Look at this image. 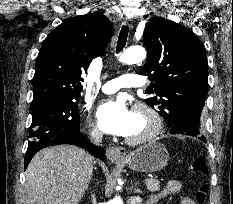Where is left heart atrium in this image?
<instances>
[{
  "instance_id": "1",
  "label": "left heart atrium",
  "mask_w": 233,
  "mask_h": 204,
  "mask_svg": "<svg viewBox=\"0 0 233 204\" xmlns=\"http://www.w3.org/2000/svg\"><path fill=\"white\" fill-rule=\"evenodd\" d=\"M96 119L104 132L125 136L131 125L132 112L124 100H108L97 108Z\"/></svg>"
}]
</instances>
